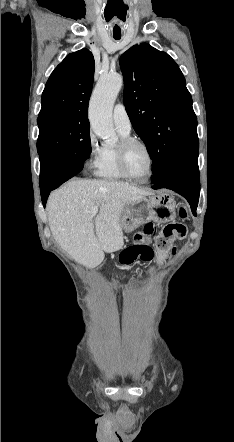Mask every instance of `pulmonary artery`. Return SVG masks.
Segmentation results:
<instances>
[{"mask_svg":"<svg viewBox=\"0 0 234 442\" xmlns=\"http://www.w3.org/2000/svg\"><path fill=\"white\" fill-rule=\"evenodd\" d=\"M113 121L116 129L124 134L131 131V122L127 110L122 103H117L113 109Z\"/></svg>","mask_w":234,"mask_h":442,"instance_id":"e3ab8cb5","label":"pulmonary artery"}]
</instances>
